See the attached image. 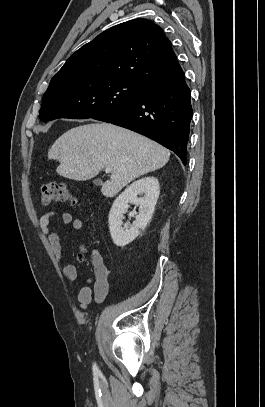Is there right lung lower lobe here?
<instances>
[{
	"mask_svg": "<svg viewBox=\"0 0 265 407\" xmlns=\"http://www.w3.org/2000/svg\"><path fill=\"white\" fill-rule=\"evenodd\" d=\"M190 89L179 63L168 76L148 85L132 104L93 119L147 136L187 163V143L193 110Z\"/></svg>",
	"mask_w": 265,
	"mask_h": 407,
	"instance_id": "1",
	"label": "right lung lower lobe"
}]
</instances>
